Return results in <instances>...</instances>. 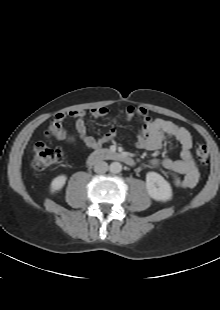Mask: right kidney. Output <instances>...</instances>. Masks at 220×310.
Returning <instances> with one entry per match:
<instances>
[{"label":"right kidney","instance_id":"1","mask_svg":"<svg viewBox=\"0 0 220 310\" xmlns=\"http://www.w3.org/2000/svg\"><path fill=\"white\" fill-rule=\"evenodd\" d=\"M67 177L65 175H59L55 177L50 184L51 193L60 191L65 185Z\"/></svg>","mask_w":220,"mask_h":310}]
</instances>
